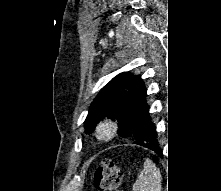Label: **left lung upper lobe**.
<instances>
[{
    "label": "left lung upper lobe",
    "mask_w": 221,
    "mask_h": 191,
    "mask_svg": "<svg viewBox=\"0 0 221 191\" xmlns=\"http://www.w3.org/2000/svg\"><path fill=\"white\" fill-rule=\"evenodd\" d=\"M135 78L136 76L129 72L120 73L98 93L84 122L87 134L94 130L101 119L109 117L117 119L120 126L119 135L124 138L132 136L135 139L134 144L148 146L158 143L157 139L150 143L135 130L136 125L131 113L132 86Z\"/></svg>",
    "instance_id": "5c2ea615"
}]
</instances>
